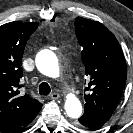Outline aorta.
Listing matches in <instances>:
<instances>
[{
  "label": "aorta",
  "mask_w": 133,
  "mask_h": 133,
  "mask_svg": "<svg viewBox=\"0 0 133 133\" xmlns=\"http://www.w3.org/2000/svg\"><path fill=\"white\" fill-rule=\"evenodd\" d=\"M36 66L45 76L57 78L60 75L58 59L56 55L49 50L42 51L37 55ZM64 108L67 115L71 118H78L82 115L81 102L72 93L66 95Z\"/></svg>",
  "instance_id": "1"
}]
</instances>
